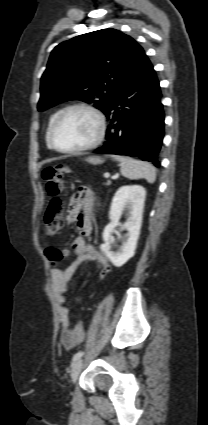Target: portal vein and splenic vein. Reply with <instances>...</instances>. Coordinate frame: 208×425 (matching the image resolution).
<instances>
[{"instance_id": "portal-vein-and-splenic-vein-1", "label": "portal vein and splenic vein", "mask_w": 208, "mask_h": 425, "mask_svg": "<svg viewBox=\"0 0 208 425\" xmlns=\"http://www.w3.org/2000/svg\"><path fill=\"white\" fill-rule=\"evenodd\" d=\"M104 177L105 178H109L110 177V174L109 173H104Z\"/></svg>"}]
</instances>
